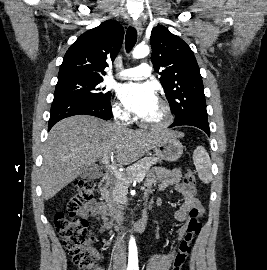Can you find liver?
<instances>
[{"mask_svg": "<svg viewBox=\"0 0 267 270\" xmlns=\"http://www.w3.org/2000/svg\"><path fill=\"white\" fill-rule=\"evenodd\" d=\"M175 131L131 130L87 115L59 121L49 132L41 167L42 197L49 200L71 183L82 168L103 157L120 165L140 159Z\"/></svg>", "mask_w": 267, "mask_h": 270, "instance_id": "1", "label": "liver"}]
</instances>
